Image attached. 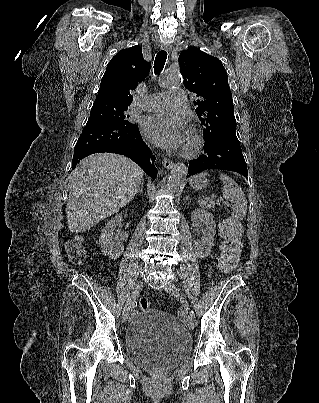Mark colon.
I'll use <instances>...</instances> for the list:
<instances>
[{"mask_svg": "<svg viewBox=\"0 0 319 403\" xmlns=\"http://www.w3.org/2000/svg\"><path fill=\"white\" fill-rule=\"evenodd\" d=\"M220 234L223 241L220 245L218 256V267L222 272L232 271L238 264L242 253V229L238 221L225 219L220 224ZM66 252L69 260L74 264H81L86 259V250L82 239L75 238L66 245ZM149 300L142 298L139 301L141 310L150 309Z\"/></svg>", "mask_w": 319, "mask_h": 403, "instance_id": "obj_1", "label": "colon"}]
</instances>
